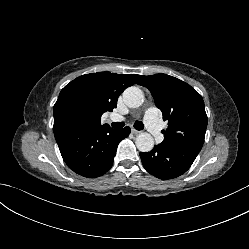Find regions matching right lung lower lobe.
<instances>
[{
    "mask_svg": "<svg viewBox=\"0 0 249 249\" xmlns=\"http://www.w3.org/2000/svg\"><path fill=\"white\" fill-rule=\"evenodd\" d=\"M129 134V127L93 131L61 127L54 130L65 163L77 174L89 178L101 176L111 168L119 142Z\"/></svg>",
    "mask_w": 249,
    "mask_h": 249,
    "instance_id": "obj_1",
    "label": "right lung lower lobe"
}]
</instances>
